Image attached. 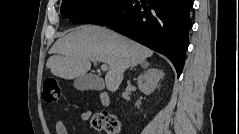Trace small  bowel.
Listing matches in <instances>:
<instances>
[{
  "label": "small bowel",
  "instance_id": "obj_1",
  "mask_svg": "<svg viewBox=\"0 0 239 134\" xmlns=\"http://www.w3.org/2000/svg\"><path fill=\"white\" fill-rule=\"evenodd\" d=\"M92 116V112L90 110H85L81 113L80 119L82 122L88 121ZM55 133L56 134H69L68 128L65 123L61 120H57L55 123Z\"/></svg>",
  "mask_w": 239,
  "mask_h": 134
}]
</instances>
